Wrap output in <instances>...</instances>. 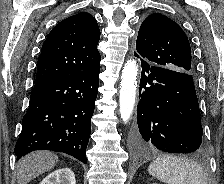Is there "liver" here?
<instances>
[{"instance_id": "1", "label": "liver", "mask_w": 224, "mask_h": 184, "mask_svg": "<svg viewBox=\"0 0 224 184\" xmlns=\"http://www.w3.org/2000/svg\"><path fill=\"white\" fill-rule=\"evenodd\" d=\"M58 156L48 151H36L23 157L17 164V183L27 184L42 173L51 170Z\"/></svg>"}]
</instances>
